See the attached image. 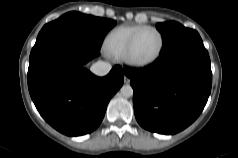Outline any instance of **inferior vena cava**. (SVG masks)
<instances>
[{
  "label": "inferior vena cava",
  "mask_w": 238,
  "mask_h": 158,
  "mask_svg": "<svg viewBox=\"0 0 238 158\" xmlns=\"http://www.w3.org/2000/svg\"><path fill=\"white\" fill-rule=\"evenodd\" d=\"M111 68L112 66L110 63H107L104 61H98L94 63L90 69H91V72L97 76H105L110 72Z\"/></svg>",
  "instance_id": "obj_1"
}]
</instances>
